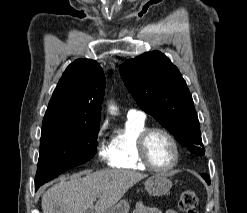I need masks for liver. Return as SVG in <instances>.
Listing matches in <instances>:
<instances>
[{
	"instance_id": "1",
	"label": "liver",
	"mask_w": 247,
	"mask_h": 213,
	"mask_svg": "<svg viewBox=\"0 0 247 213\" xmlns=\"http://www.w3.org/2000/svg\"><path fill=\"white\" fill-rule=\"evenodd\" d=\"M82 175L75 174L45 191L41 202L43 213H85L88 209L103 213L117 204L129 188L147 177L129 170H100ZM96 198L99 199L93 205Z\"/></svg>"
}]
</instances>
